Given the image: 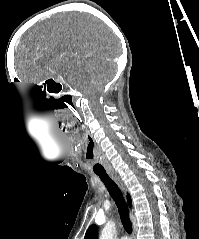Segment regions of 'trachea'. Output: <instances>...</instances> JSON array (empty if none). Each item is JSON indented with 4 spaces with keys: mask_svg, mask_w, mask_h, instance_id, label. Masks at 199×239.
Here are the masks:
<instances>
[{
    "mask_svg": "<svg viewBox=\"0 0 199 239\" xmlns=\"http://www.w3.org/2000/svg\"><path fill=\"white\" fill-rule=\"evenodd\" d=\"M101 181L104 183L106 186L109 194L115 201V204L118 207V211L120 214V218L123 224L124 229L128 232H132V223L129 218V213H128V206L124 200L123 194L116 185V183L110 179L107 173H96Z\"/></svg>",
    "mask_w": 199,
    "mask_h": 239,
    "instance_id": "1",
    "label": "trachea"
}]
</instances>
